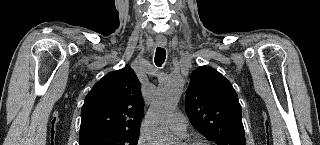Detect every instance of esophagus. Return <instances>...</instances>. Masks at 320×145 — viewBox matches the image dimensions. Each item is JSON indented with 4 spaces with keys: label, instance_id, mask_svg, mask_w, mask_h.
<instances>
[{
    "label": "esophagus",
    "instance_id": "esophagus-1",
    "mask_svg": "<svg viewBox=\"0 0 320 145\" xmlns=\"http://www.w3.org/2000/svg\"><path fill=\"white\" fill-rule=\"evenodd\" d=\"M156 42H157V44H158L159 46H162V47H163V46L166 45L167 40H166V38H157Z\"/></svg>",
    "mask_w": 320,
    "mask_h": 145
}]
</instances>
